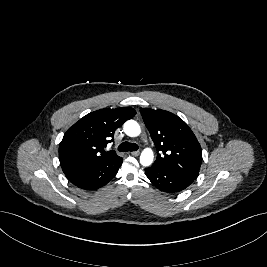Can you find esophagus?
Returning <instances> with one entry per match:
<instances>
[{
    "label": "esophagus",
    "mask_w": 267,
    "mask_h": 267,
    "mask_svg": "<svg viewBox=\"0 0 267 267\" xmlns=\"http://www.w3.org/2000/svg\"><path fill=\"white\" fill-rule=\"evenodd\" d=\"M140 152L139 151H133L131 152V155L133 156H139Z\"/></svg>",
    "instance_id": "esophagus-1"
}]
</instances>
